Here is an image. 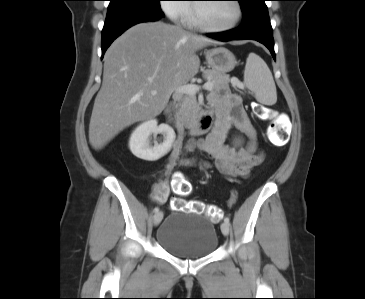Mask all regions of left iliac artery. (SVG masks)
<instances>
[{
	"label": "left iliac artery",
	"instance_id": "1",
	"mask_svg": "<svg viewBox=\"0 0 365 299\" xmlns=\"http://www.w3.org/2000/svg\"><path fill=\"white\" fill-rule=\"evenodd\" d=\"M224 222L228 223L229 224V218L228 217H225L224 218Z\"/></svg>",
	"mask_w": 365,
	"mask_h": 299
}]
</instances>
